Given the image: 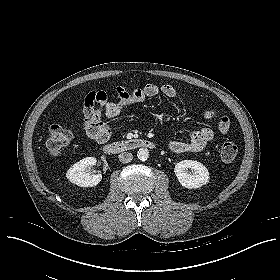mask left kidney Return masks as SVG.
Returning <instances> with one entry per match:
<instances>
[{
	"label": "left kidney",
	"mask_w": 280,
	"mask_h": 280,
	"mask_svg": "<svg viewBox=\"0 0 280 280\" xmlns=\"http://www.w3.org/2000/svg\"><path fill=\"white\" fill-rule=\"evenodd\" d=\"M174 172L180 184L188 189L200 188L210 179L208 169L202 163L194 160H183L177 163Z\"/></svg>",
	"instance_id": "obj_1"
}]
</instances>
